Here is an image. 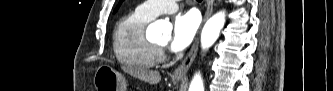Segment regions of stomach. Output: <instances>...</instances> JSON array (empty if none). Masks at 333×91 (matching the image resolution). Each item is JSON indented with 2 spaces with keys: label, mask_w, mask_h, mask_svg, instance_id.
Here are the masks:
<instances>
[{
  "label": "stomach",
  "mask_w": 333,
  "mask_h": 91,
  "mask_svg": "<svg viewBox=\"0 0 333 91\" xmlns=\"http://www.w3.org/2000/svg\"><path fill=\"white\" fill-rule=\"evenodd\" d=\"M181 80V78H175ZM94 86L97 91H127L124 76L108 65L98 67L94 76Z\"/></svg>",
  "instance_id": "stomach-1"
}]
</instances>
